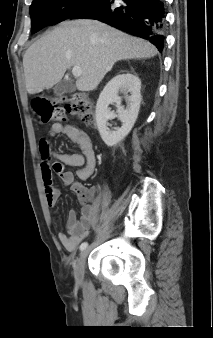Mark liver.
Listing matches in <instances>:
<instances>
[{
	"instance_id": "6515ba94",
	"label": "liver",
	"mask_w": 213,
	"mask_h": 338,
	"mask_svg": "<svg viewBox=\"0 0 213 338\" xmlns=\"http://www.w3.org/2000/svg\"><path fill=\"white\" fill-rule=\"evenodd\" d=\"M158 50L150 42L130 36L95 20L67 21L33 43L25 52L26 90L33 95L59 83L78 66L79 91H93L120 60L148 59Z\"/></svg>"
}]
</instances>
